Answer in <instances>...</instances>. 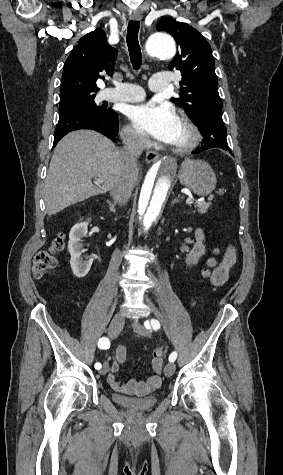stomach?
<instances>
[{
  "mask_svg": "<svg viewBox=\"0 0 283 475\" xmlns=\"http://www.w3.org/2000/svg\"><path fill=\"white\" fill-rule=\"evenodd\" d=\"M180 184L193 190L198 196H207L215 190L216 176L211 166L203 160H184L180 166Z\"/></svg>",
  "mask_w": 283,
  "mask_h": 475,
  "instance_id": "obj_1",
  "label": "stomach"
}]
</instances>
